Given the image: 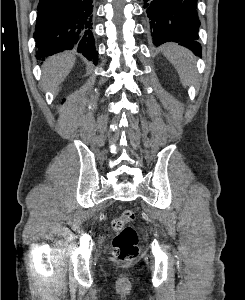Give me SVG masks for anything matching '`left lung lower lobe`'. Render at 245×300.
<instances>
[{
    "instance_id": "0a47b994",
    "label": "left lung lower lobe",
    "mask_w": 245,
    "mask_h": 300,
    "mask_svg": "<svg viewBox=\"0 0 245 300\" xmlns=\"http://www.w3.org/2000/svg\"><path fill=\"white\" fill-rule=\"evenodd\" d=\"M155 46L178 42L195 55L202 53L198 39L200 25L197 0H144Z\"/></svg>"
}]
</instances>
